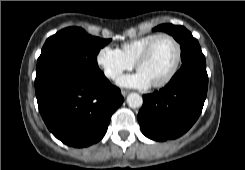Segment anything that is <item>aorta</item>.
Wrapping results in <instances>:
<instances>
[{
    "label": "aorta",
    "instance_id": "obj_1",
    "mask_svg": "<svg viewBox=\"0 0 245 170\" xmlns=\"http://www.w3.org/2000/svg\"><path fill=\"white\" fill-rule=\"evenodd\" d=\"M127 104L131 108H139L143 104V99L139 94L131 93L127 96Z\"/></svg>",
    "mask_w": 245,
    "mask_h": 170
}]
</instances>
